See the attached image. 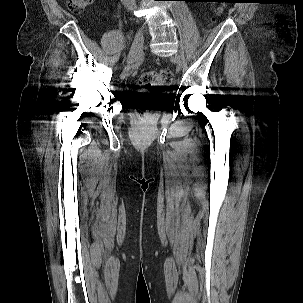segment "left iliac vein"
I'll list each match as a JSON object with an SVG mask.
<instances>
[{"instance_id":"left-iliac-vein-1","label":"left iliac vein","mask_w":303,"mask_h":303,"mask_svg":"<svg viewBox=\"0 0 303 303\" xmlns=\"http://www.w3.org/2000/svg\"><path fill=\"white\" fill-rule=\"evenodd\" d=\"M174 58L177 60V62L179 64H183L184 63V56L182 54L181 51L177 52L175 55H174Z\"/></svg>"}]
</instances>
